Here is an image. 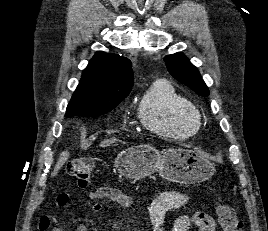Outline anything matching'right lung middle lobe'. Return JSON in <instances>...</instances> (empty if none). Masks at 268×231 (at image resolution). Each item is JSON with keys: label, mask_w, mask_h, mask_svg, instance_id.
<instances>
[{"label": "right lung middle lobe", "mask_w": 268, "mask_h": 231, "mask_svg": "<svg viewBox=\"0 0 268 231\" xmlns=\"http://www.w3.org/2000/svg\"><path fill=\"white\" fill-rule=\"evenodd\" d=\"M122 101V100H121ZM121 101L115 102H102L98 104L91 105H81L75 102H69L66 110V117L72 116H82V117H91V116H100L110 112L114 109Z\"/></svg>", "instance_id": "dd1d6c3e"}]
</instances>
